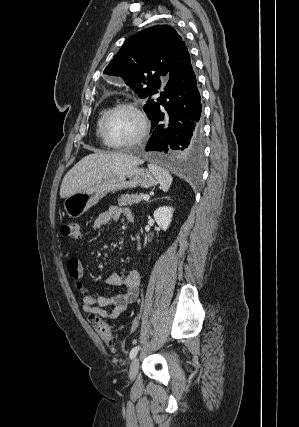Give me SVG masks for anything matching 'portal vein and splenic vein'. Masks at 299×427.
<instances>
[{
    "label": "portal vein and splenic vein",
    "instance_id": "portal-vein-and-splenic-vein-1",
    "mask_svg": "<svg viewBox=\"0 0 299 427\" xmlns=\"http://www.w3.org/2000/svg\"><path fill=\"white\" fill-rule=\"evenodd\" d=\"M143 199L146 200V201H148L150 199V197H149V195H144Z\"/></svg>",
    "mask_w": 299,
    "mask_h": 427
}]
</instances>
